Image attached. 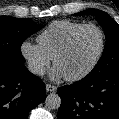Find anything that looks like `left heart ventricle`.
<instances>
[{
  "instance_id": "b2bd125f",
  "label": "left heart ventricle",
  "mask_w": 119,
  "mask_h": 119,
  "mask_svg": "<svg viewBox=\"0 0 119 119\" xmlns=\"http://www.w3.org/2000/svg\"><path fill=\"white\" fill-rule=\"evenodd\" d=\"M100 43L101 38L97 30H84L77 36L69 51L57 61L56 67L65 77L81 73L95 59Z\"/></svg>"
}]
</instances>
